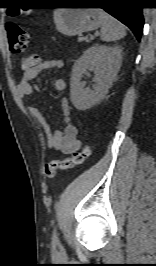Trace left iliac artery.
Here are the masks:
<instances>
[{"label": "left iliac artery", "mask_w": 156, "mask_h": 266, "mask_svg": "<svg viewBox=\"0 0 156 266\" xmlns=\"http://www.w3.org/2000/svg\"><path fill=\"white\" fill-rule=\"evenodd\" d=\"M53 242L58 243V237H57V231L56 230L53 231Z\"/></svg>", "instance_id": "1"}]
</instances>
